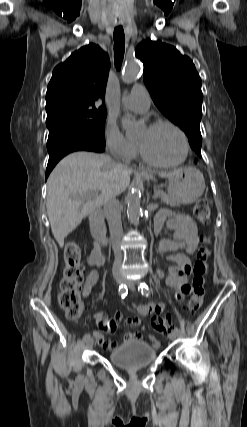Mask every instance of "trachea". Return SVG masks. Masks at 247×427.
I'll use <instances>...</instances> for the list:
<instances>
[{"mask_svg": "<svg viewBox=\"0 0 247 427\" xmlns=\"http://www.w3.org/2000/svg\"><path fill=\"white\" fill-rule=\"evenodd\" d=\"M114 59L115 66L119 69L124 56L125 35L123 27L118 26L114 29Z\"/></svg>", "mask_w": 247, "mask_h": 427, "instance_id": "trachea-1", "label": "trachea"}]
</instances>
